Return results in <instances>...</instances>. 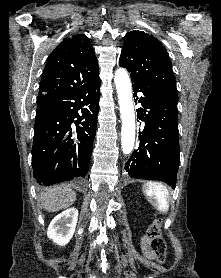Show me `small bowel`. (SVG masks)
Returning a JSON list of instances; mask_svg holds the SVG:
<instances>
[{"label":"small bowel","instance_id":"obj_1","mask_svg":"<svg viewBox=\"0 0 221 278\" xmlns=\"http://www.w3.org/2000/svg\"><path fill=\"white\" fill-rule=\"evenodd\" d=\"M142 248H143V252L144 254L148 257V258H153L150 250H149V240L147 237H144L143 238V241H142Z\"/></svg>","mask_w":221,"mask_h":278}]
</instances>
